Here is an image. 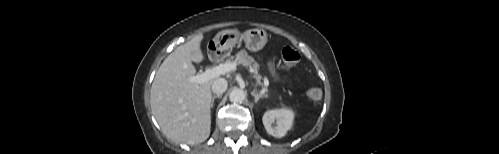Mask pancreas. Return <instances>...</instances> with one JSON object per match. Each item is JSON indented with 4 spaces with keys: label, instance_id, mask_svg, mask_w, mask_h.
Wrapping results in <instances>:
<instances>
[{
    "label": "pancreas",
    "instance_id": "cf45deb5",
    "mask_svg": "<svg viewBox=\"0 0 499 154\" xmlns=\"http://www.w3.org/2000/svg\"><path fill=\"white\" fill-rule=\"evenodd\" d=\"M236 61L244 66H249L252 69L254 78L256 79L257 83L262 85V76L259 73V65L255 62L253 57L248 55L246 50L243 49L238 52V54L236 55ZM264 79L266 78L264 77Z\"/></svg>",
    "mask_w": 499,
    "mask_h": 154
}]
</instances>
